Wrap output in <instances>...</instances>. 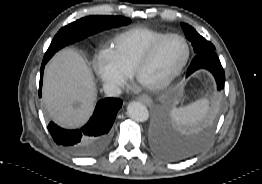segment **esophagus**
Returning <instances> with one entry per match:
<instances>
[{
  "label": "esophagus",
  "instance_id": "34e87169",
  "mask_svg": "<svg viewBox=\"0 0 262 184\" xmlns=\"http://www.w3.org/2000/svg\"><path fill=\"white\" fill-rule=\"evenodd\" d=\"M138 100L146 105H151L152 104V98L146 95H142L138 98Z\"/></svg>",
  "mask_w": 262,
  "mask_h": 184
}]
</instances>
